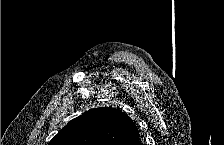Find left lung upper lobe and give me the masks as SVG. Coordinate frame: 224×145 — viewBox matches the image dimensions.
I'll return each mask as SVG.
<instances>
[{
    "instance_id": "left-lung-upper-lobe-1",
    "label": "left lung upper lobe",
    "mask_w": 224,
    "mask_h": 145,
    "mask_svg": "<svg viewBox=\"0 0 224 145\" xmlns=\"http://www.w3.org/2000/svg\"><path fill=\"white\" fill-rule=\"evenodd\" d=\"M139 132L122 111L100 107L70 121L49 145H139Z\"/></svg>"
}]
</instances>
